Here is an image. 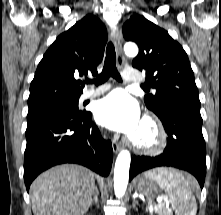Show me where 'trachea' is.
I'll list each match as a JSON object with an SVG mask.
<instances>
[{"mask_svg":"<svg viewBox=\"0 0 221 215\" xmlns=\"http://www.w3.org/2000/svg\"><path fill=\"white\" fill-rule=\"evenodd\" d=\"M115 60L116 54L114 45L112 42H109L106 48V57L101 74L95 80H87L86 83H95V85H100L106 82L109 77H113L118 81H122L121 76L117 71Z\"/></svg>","mask_w":221,"mask_h":215,"instance_id":"trachea-1","label":"trachea"}]
</instances>
